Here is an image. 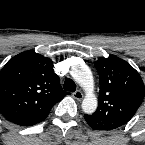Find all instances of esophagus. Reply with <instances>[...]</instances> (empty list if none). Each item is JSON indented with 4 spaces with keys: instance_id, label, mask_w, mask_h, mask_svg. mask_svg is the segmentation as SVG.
<instances>
[{
    "instance_id": "obj_1",
    "label": "esophagus",
    "mask_w": 145,
    "mask_h": 145,
    "mask_svg": "<svg viewBox=\"0 0 145 145\" xmlns=\"http://www.w3.org/2000/svg\"><path fill=\"white\" fill-rule=\"evenodd\" d=\"M73 97L76 99V100H82L84 95L83 93L80 91V90H77L73 93Z\"/></svg>"
}]
</instances>
